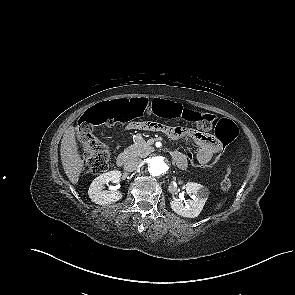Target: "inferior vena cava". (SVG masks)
<instances>
[{
  "instance_id": "obj_1",
  "label": "inferior vena cava",
  "mask_w": 295,
  "mask_h": 295,
  "mask_svg": "<svg viewBox=\"0 0 295 295\" xmlns=\"http://www.w3.org/2000/svg\"><path fill=\"white\" fill-rule=\"evenodd\" d=\"M142 164V160L139 158H130L124 164V170L128 172H132L136 170Z\"/></svg>"
}]
</instances>
